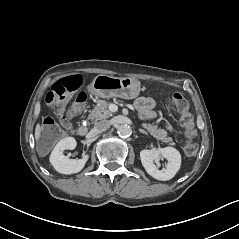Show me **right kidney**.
<instances>
[{
	"instance_id": "ca27d5eb",
	"label": "right kidney",
	"mask_w": 239,
	"mask_h": 239,
	"mask_svg": "<svg viewBox=\"0 0 239 239\" xmlns=\"http://www.w3.org/2000/svg\"><path fill=\"white\" fill-rule=\"evenodd\" d=\"M76 145V140L73 137H66L56 144L51 152L49 160L57 172L72 174L78 173L83 169L89 158L88 155L83 156L82 159H69L63 154L64 150H73Z\"/></svg>"
}]
</instances>
